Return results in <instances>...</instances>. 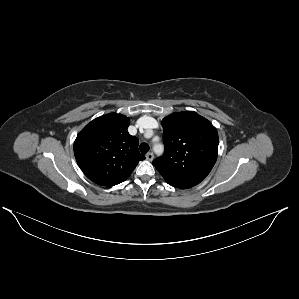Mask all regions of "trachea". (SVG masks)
<instances>
[{"label": "trachea", "instance_id": "1", "mask_svg": "<svg viewBox=\"0 0 299 299\" xmlns=\"http://www.w3.org/2000/svg\"><path fill=\"white\" fill-rule=\"evenodd\" d=\"M139 148H140L141 153L146 154L149 151L150 147L146 143H141Z\"/></svg>", "mask_w": 299, "mask_h": 299}]
</instances>
